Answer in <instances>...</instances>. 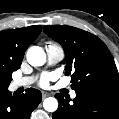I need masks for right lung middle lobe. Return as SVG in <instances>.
Instances as JSON below:
<instances>
[{
  "instance_id": "dd1d6c3e",
  "label": "right lung middle lobe",
  "mask_w": 119,
  "mask_h": 119,
  "mask_svg": "<svg viewBox=\"0 0 119 119\" xmlns=\"http://www.w3.org/2000/svg\"><path fill=\"white\" fill-rule=\"evenodd\" d=\"M12 80L11 74H4L0 76V89L8 88Z\"/></svg>"
}]
</instances>
